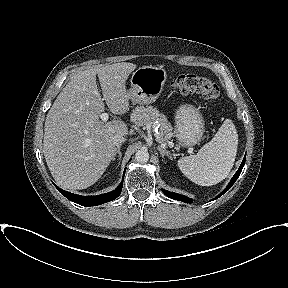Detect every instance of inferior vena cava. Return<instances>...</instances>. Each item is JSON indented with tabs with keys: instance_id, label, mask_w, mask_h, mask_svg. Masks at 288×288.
I'll return each mask as SVG.
<instances>
[{
	"instance_id": "inferior-vena-cava-1",
	"label": "inferior vena cava",
	"mask_w": 288,
	"mask_h": 288,
	"mask_svg": "<svg viewBox=\"0 0 288 288\" xmlns=\"http://www.w3.org/2000/svg\"><path fill=\"white\" fill-rule=\"evenodd\" d=\"M114 144L118 147L122 142H125V138L123 136L117 135L113 138Z\"/></svg>"
}]
</instances>
